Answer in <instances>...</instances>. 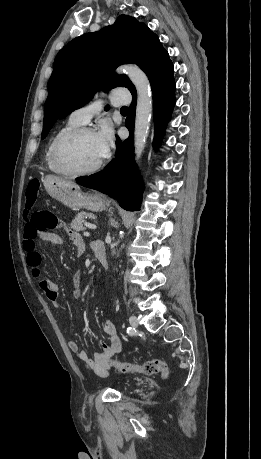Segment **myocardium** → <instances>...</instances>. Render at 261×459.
<instances>
[{
    "label": "myocardium",
    "instance_id": "obj_1",
    "mask_svg": "<svg viewBox=\"0 0 261 459\" xmlns=\"http://www.w3.org/2000/svg\"><path fill=\"white\" fill-rule=\"evenodd\" d=\"M86 134H95L94 130L89 127L79 126L62 134L55 142L52 150V162L57 171L65 176L80 177L88 176L96 173L104 164V159H101L96 165L84 170H73L66 167L62 162V153L64 147L72 140Z\"/></svg>",
    "mask_w": 261,
    "mask_h": 459
}]
</instances>
